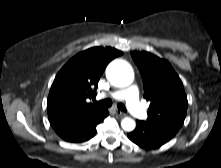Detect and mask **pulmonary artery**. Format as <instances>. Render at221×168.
Instances as JSON below:
<instances>
[{
    "mask_svg": "<svg viewBox=\"0 0 221 168\" xmlns=\"http://www.w3.org/2000/svg\"><path fill=\"white\" fill-rule=\"evenodd\" d=\"M103 96H108L117 100H125L127 108L133 116L139 119H145L147 117L145 108L139 102L138 88L135 85H132L127 89L118 90Z\"/></svg>",
    "mask_w": 221,
    "mask_h": 168,
    "instance_id": "1",
    "label": "pulmonary artery"
}]
</instances>
